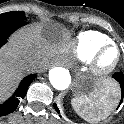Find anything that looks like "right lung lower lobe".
Wrapping results in <instances>:
<instances>
[{
  "instance_id": "obj_1",
  "label": "right lung lower lobe",
  "mask_w": 124,
  "mask_h": 124,
  "mask_svg": "<svg viewBox=\"0 0 124 124\" xmlns=\"http://www.w3.org/2000/svg\"><path fill=\"white\" fill-rule=\"evenodd\" d=\"M26 24L27 22L25 21H0V48L7 42L10 34ZM36 77V74H31L20 82L12 97L0 105V116L7 115L16 110L19 105V98L25 97L29 85Z\"/></svg>"
}]
</instances>
